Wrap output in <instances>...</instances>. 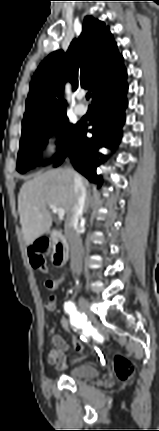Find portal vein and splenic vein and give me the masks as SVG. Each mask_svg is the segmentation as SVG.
Returning <instances> with one entry per match:
<instances>
[{"mask_svg": "<svg viewBox=\"0 0 159 431\" xmlns=\"http://www.w3.org/2000/svg\"><path fill=\"white\" fill-rule=\"evenodd\" d=\"M49 208L56 213L60 218L64 217L65 215V210L63 208H58L57 206L50 204Z\"/></svg>", "mask_w": 159, "mask_h": 431, "instance_id": "18ae733b", "label": "portal vein and splenic vein"}]
</instances>
